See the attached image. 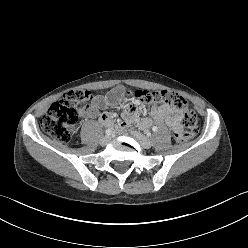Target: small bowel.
Here are the masks:
<instances>
[{
    "label": "small bowel",
    "instance_id": "obj_1",
    "mask_svg": "<svg viewBox=\"0 0 248 248\" xmlns=\"http://www.w3.org/2000/svg\"><path fill=\"white\" fill-rule=\"evenodd\" d=\"M129 91L126 87L118 85L111 89L110 94L106 96H98L94 105L83 112V115L89 118L99 117L100 123L108 128L119 131L124 130L131 121H138L139 126L143 129L150 127L153 123H166L174 132L182 131V116L167 104L153 108L149 117L139 119L137 105L134 101H129ZM123 105L124 121L115 123L113 117L109 113L100 111L109 106L119 109Z\"/></svg>",
    "mask_w": 248,
    "mask_h": 248
}]
</instances>
